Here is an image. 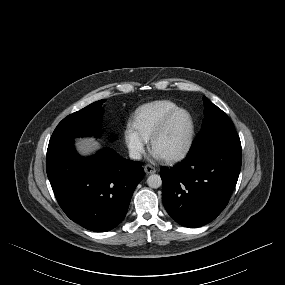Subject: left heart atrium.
Segmentation results:
<instances>
[{
    "label": "left heart atrium",
    "instance_id": "left-heart-atrium-1",
    "mask_svg": "<svg viewBox=\"0 0 285 285\" xmlns=\"http://www.w3.org/2000/svg\"><path fill=\"white\" fill-rule=\"evenodd\" d=\"M157 158H159L160 156L158 154H155Z\"/></svg>",
    "mask_w": 285,
    "mask_h": 285
}]
</instances>
